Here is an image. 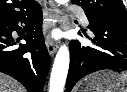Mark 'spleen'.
Listing matches in <instances>:
<instances>
[{"mask_svg": "<svg viewBox=\"0 0 127 92\" xmlns=\"http://www.w3.org/2000/svg\"><path fill=\"white\" fill-rule=\"evenodd\" d=\"M120 77H121L122 81L127 83V72H122ZM123 92H127V88L125 90H123Z\"/></svg>", "mask_w": 127, "mask_h": 92, "instance_id": "obj_1", "label": "spleen"}]
</instances>
